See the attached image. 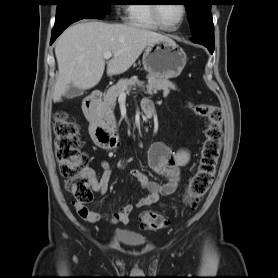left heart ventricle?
<instances>
[{
  "instance_id": "obj_1",
  "label": "left heart ventricle",
  "mask_w": 278,
  "mask_h": 278,
  "mask_svg": "<svg viewBox=\"0 0 278 278\" xmlns=\"http://www.w3.org/2000/svg\"><path fill=\"white\" fill-rule=\"evenodd\" d=\"M160 19L169 26L176 25L182 16L181 4L171 3L159 6Z\"/></svg>"
}]
</instances>
